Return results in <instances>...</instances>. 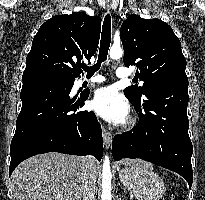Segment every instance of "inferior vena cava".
<instances>
[{
    "label": "inferior vena cava",
    "mask_w": 205,
    "mask_h": 200,
    "mask_svg": "<svg viewBox=\"0 0 205 200\" xmlns=\"http://www.w3.org/2000/svg\"><path fill=\"white\" fill-rule=\"evenodd\" d=\"M94 165L95 159L92 156L82 157L80 180L83 200H95L97 176Z\"/></svg>",
    "instance_id": "inferior-vena-cava-1"
}]
</instances>
